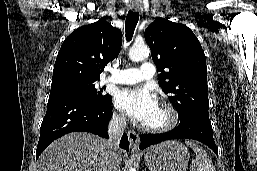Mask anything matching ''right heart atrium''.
<instances>
[{"mask_svg":"<svg viewBox=\"0 0 257 171\" xmlns=\"http://www.w3.org/2000/svg\"><path fill=\"white\" fill-rule=\"evenodd\" d=\"M113 120L119 124V125H123L126 123V117L124 114L120 113V112H114L113 114Z\"/></svg>","mask_w":257,"mask_h":171,"instance_id":"1","label":"right heart atrium"}]
</instances>
